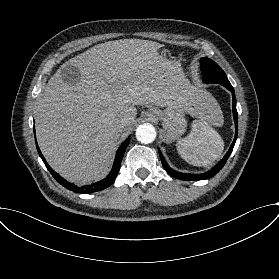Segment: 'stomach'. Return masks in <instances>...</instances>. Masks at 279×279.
<instances>
[{"label": "stomach", "instance_id": "1", "mask_svg": "<svg viewBox=\"0 0 279 279\" xmlns=\"http://www.w3.org/2000/svg\"><path fill=\"white\" fill-rule=\"evenodd\" d=\"M171 101L175 102L176 99L172 98ZM186 113L183 107L171 105L150 108L146 116L152 117V121H158V119L162 120L163 129L161 130V139L170 142L183 134L186 127V121L183 117Z\"/></svg>", "mask_w": 279, "mask_h": 279}]
</instances>
